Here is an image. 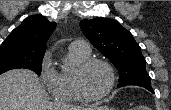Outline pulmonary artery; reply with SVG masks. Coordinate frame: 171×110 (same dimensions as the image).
Here are the masks:
<instances>
[{"label": "pulmonary artery", "instance_id": "pulmonary-artery-1", "mask_svg": "<svg viewBox=\"0 0 171 110\" xmlns=\"http://www.w3.org/2000/svg\"><path fill=\"white\" fill-rule=\"evenodd\" d=\"M71 46L78 48L84 52H90L91 51V47L90 44L85 41V40H75L74 42H72Z\"/></svg>", "mask_w": 171, "mask_h": 110}]
</instances>
